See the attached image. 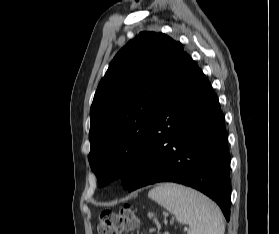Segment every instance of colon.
Here are the masks:
<instances>
[{
	"label": "colon",
	"mask_w": 279,
	"mask_h": 234,
	"mask_svg": "<svg viewBox=\"0 0 279 234\" xmlns=\"http://www.w3.org/2000/svg\"><path fill=\"white\" fill-rule=\"evenodd\" d=\"M138 219L131 205H125L118 213L103 211L100 216L99 234H122L136 228Z\"/></svg>",
	"instance_id": "colon-1"
}]
</instances>
